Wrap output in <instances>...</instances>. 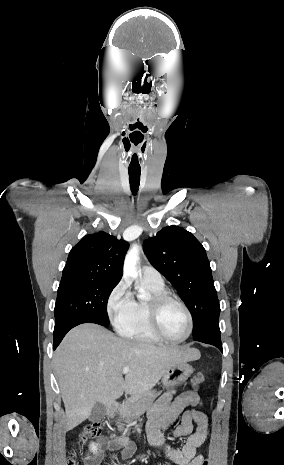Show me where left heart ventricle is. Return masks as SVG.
I'll return each mask as SVG.
<instances>
[{
    "instance_id": "left-heart-ventricle-1",
    "label": "left heart ventricle",
    "mask_w": 284,
    "mask_h": 465,
    "mask_svg": "<svg viewBox=\"0 0 284 465\" xmlns=\"http://www.w3.org/2000/svg\"><path fill=\"white\" fill-rule=\"evenodd\" d=\"M189 327L186 312L176 304H169L162 313L161 330L163 334L172 340L182 339Z\"/></svg>"
}]
</instances>
